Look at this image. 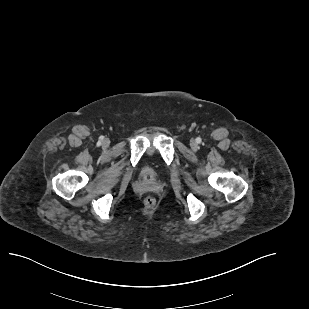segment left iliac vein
Instances as JSON below:
<instances>
[{
    "label": "left iliac vein",
    "instance_id": "left-iliac-vein-1",
    "mask_svg": "<svg viewBox=\"0 0 309 309\" xmlns=\"http://www.w3.org/2000/svg\"><path fill=\"white\" fill-rule=\"evenodd\" d=\"M190 146H191V148H192L193 150H196L197 147H198V145H197V143H196L195 140H192V141L190 142Z\"/></svg>",
    "mask_w": 309,
    "mask_h": 309
}]
</instances>
